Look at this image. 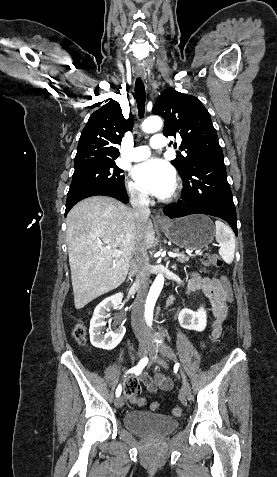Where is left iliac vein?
<instances>
[{
  "label": "left iliac vein",
  "instance_id": "4c4485c4",
  "mask_svg": "<svg viewBox=\"0 0 277 477\" xmlns=\"http://www.w3.org/2000/svg\"><path fill=\"white\" fill-rule=\"evenodd\" d=\"M156 351L160 352L163 356L167 357L168 359L174 362L177 360L176 355L174 351L172 350V348L166 344H160L159 346H156V347L153 346L150 349L151 354H155ZM163 366L166 367L165 364H163ZM181 378H182V391H181L182 395L189 399L191 397V387L189 385L187 378L185 377L183 373L181 374Z\"/></svg>",
  "mask_w": 277,
  "mask_h": 477
}]
</instances>
